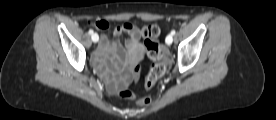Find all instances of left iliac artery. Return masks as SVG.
Listing matches in <instances>:
<instances>
[{"instance_id":"obj_1","label":"left iliac artery","mask_w":276,"mask_h":120,"mask_svg":"<svg viewBox=\"0 0 276 120\" xmlns=\"http://www.w3.org/2000/svg\"><path fill=\"white\" fill-rule=\"evenodd\" d=\"M175 33H176V31L173 29L170 34L175 35Z\"/></svg>"}]
</instances>
